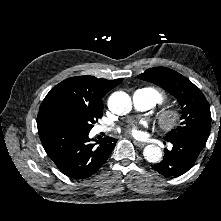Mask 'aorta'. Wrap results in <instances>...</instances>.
Instances as JSON below:
<instances>
[{
    "instance_id": "obj_1",
    "label": "aorta",
    "mask_w": 221,
    "mask_h": 221,
    "mask_svg": "<svg viewBox=\"0 0 221 221\" xmlns=\"http://www.w3.org/2000/svg\"><path fill=\"white\" fill-rule=\"evenodd\" d=\"M108 107L114 114L126 115L132 109L131 98L123 91L114 92L108 99ZM143 156L150 163H158L162 159V151L156 145H147L144 148Z\"/></svg>"
}]
</instances>
